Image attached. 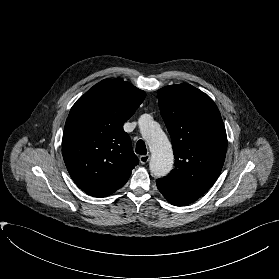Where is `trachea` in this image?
Wrapping results in <instances>:
<instances>
[{"mask_svg":"<svg viewBox=\"0 0 279 279\" xmlns=\"http://www.w3.org/2000/svg\"><path fill=\"white\" fill-rule=\"evenodd\" d=\"M136 153L140 155L147 154L146 145L143 140H139L136 144Z\"/></svg>","mask_w":279,"mask_h":279,"instance_id":"obj_1","label":"trachea"}]
</instances>
